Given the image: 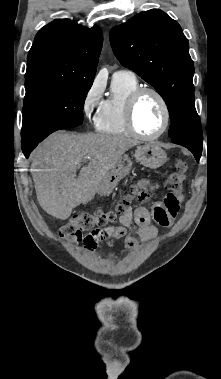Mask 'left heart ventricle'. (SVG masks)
Listing matches in <instances>:
<instances>
[{"label": "left heart ventricle", "mask_w": 221, "mask_h": 379, "mask_svg": "<svg viewBox=\"0 0 221 379\" xmlns=\"http://www.w3.org/2000/svg\"><path fill=\"white\" fill-rule=\"evenodd\" d=\"M163 110L158 99L150 94H144L135 109V124L137 129L146 135L157 133L163 125Z\"/></svg>", "instance_id": "1"}]
</instances>
